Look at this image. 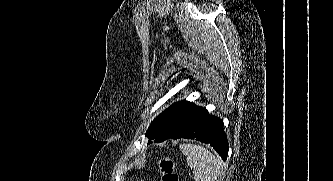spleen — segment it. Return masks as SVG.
I'll use <instances>...</instances> for the list:
<instances>
[{"mask_svg":"<svg viewBox=\"0 0 333 181\" xmlns=\"http://www.w3.org/2000/svg\"><path fill=\"white\" fill-rule=\"evenodd\" d=\"M180 150L186 156L187 164L194 170V181H219L222 162L208 149L196 144H181Z\"/></svg>","mask_w":333,"mask_h":181,"instance_id":"3e777b00","label":"spleen"}]
</instances>
